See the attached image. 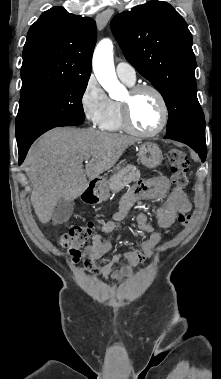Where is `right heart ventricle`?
<instances>
[{
  "mask_svg": "<svg viewBox=\"0 0 221 379\" xmlns=\"http://www.w3.org/2000/svg\"><path fill=\"white\" fill-rule=\"evenodd\" d=\"M127 85H132L133 83H128L123 81ZM103 130L107 131H120L124 130L122 116H121V104L117 100H111L110 108L107 116L100 125Z\"/></svg>",
  "mask_w": 221,
  "mask_h": 379,
  "instance_id": "obj_1",
  "label": "right heart ventricle"
}]
</instances>
